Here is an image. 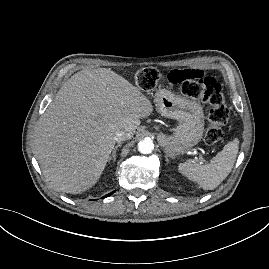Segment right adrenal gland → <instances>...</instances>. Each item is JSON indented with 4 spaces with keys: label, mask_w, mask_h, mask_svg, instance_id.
I'll return each mask as SVG.
<instances>
[{
    "label": "right adrenal gland",
    "mask_w": 269,
    "mask_h": 269,
    "mask_svg": "<svg viewBox=\"0 0 269 269\" xmlns=\"http://www.w3.org/2000/svg\"><path fill=\"white\" fill-rule=\"evenodd\" d=\"M121 146V144H118L115 146L111 156L109 157V161L110 160H113V161H116V152H117V149Z\"/></svg>",
    "instance_id": "obj_1"
}]
</instances>
